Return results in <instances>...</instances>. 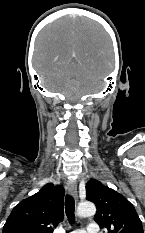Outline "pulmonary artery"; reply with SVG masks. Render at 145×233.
<instances>
[{
	"instance_id": "pulmonary-artery-1",
	"label": "pulmonary artery",
	"mask_w": 145,
	"mask_h": 233,
	"mask_svg": "<svg viewBox=\"0 0 145 233\" xmlns=\"http://www.w3.org/2000/svg\"><path fill=\"white\" fill-rule=\"evenodd\" d=\"M71 233H100V229L96 223H90L86 230H75Z\"/></svg>"
}]
</instances>
